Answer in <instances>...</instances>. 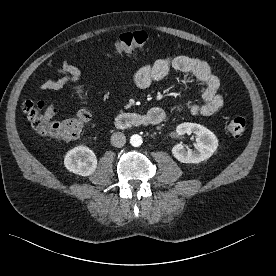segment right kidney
I'll return each mask as SVG.
<instances>
[{"label": "right kidney", "mask_w": 276, "mask_h": 276, "mask_svg": "<svg viewBox=\"0 0 276 276\" xmlns=\"http://www.w3.org/2000/svg\"><path fill=\"white\" fill-rule=\"evenodd\" d=\"M64 165L70 172L81 176L91 175L97 168L95 153L86 146H77L69 150Z\"/></svg>", "instance_id": "ca27d5eb"}]
</instances>
